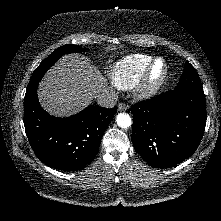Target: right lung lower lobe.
I'll use <instances>...</instances> for the list:
<instances>
[{"instance_id": "98d812e1", "label": "right lung lower lobe", "mask_w": 221, "mask_h": 221, "mask_svg": "<svg viewBox=\"0 0 221 221\" xmlns=\"http://www.w3.org/2000/svg\"><path fill=\"white\" fill-rule=\"evenodd\" d=\"M37 88L27 89L24 98V126L35 155L57 170L84 169L97 155L117 107L89 106L72 117H53L41 108Z\"/></svg>"}]
</instances>
